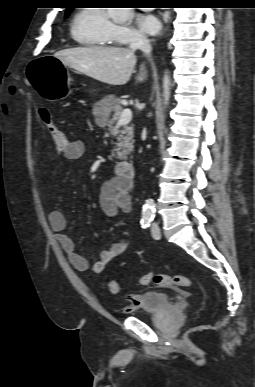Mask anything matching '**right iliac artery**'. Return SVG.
<instances>
[{"label": "right iliac artery", "instance_id": "1", "mask_svg": "<svg viewBox=\"0 0 255 387\" xmlns=\"http://www.w3.org/2000/svg\"><path fill=\"white\" fill-rule=\"evenodd\" d=\"M151 221H152L151 218H149V217H143V218L141 219V222H140L142 228H147V227H149L150 224H151Z\"/></svg>", "mask_w": 255, "mask_h": 387}]
</instances>
